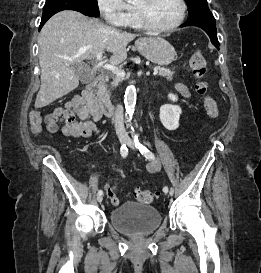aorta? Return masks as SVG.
Returning a JSON list of instances; mask_svg holds the SVG:
<instances>
[{
    "label": "aorta",
    "mask_w": 261,
    "mask_h": 273,
    "mask_svg": "<svg viewBox=\"0 0 261 273\" xmlns=\"http://www.w3.org/2000/svg\"><path fill=\"white\" fill-rule=\"evenodd\" d=\"M128 2H132L133 0H127ZM136 89L134 85L130 84L127 86L124 96V103H125V110L126 116L128 115L129 118H132L134 113L135 105H136Z\"/></svg>",
    "instance_id": "aorta-1"
}]
</instances>
